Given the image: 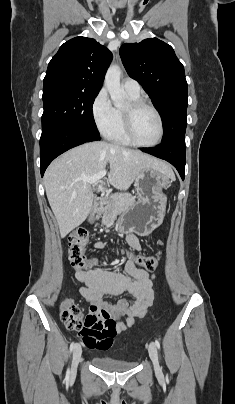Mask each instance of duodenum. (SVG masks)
<instances>
[{"label": "duodenum", "instance_id": "410a0bca", "mask_svg": "<svg viewBox=\"0 0 235 404\" xmlns=\"http://www.w3.org/2000/svg\"><path fill=\"white\" fill-rule=\"evenodd\" d=\"M109 201L106 198H99L96 201V207L100 213H106L109 209Z\"/></svg>", "mask_w": 235, "mask_h": 404}]
</instances>
